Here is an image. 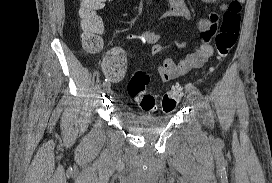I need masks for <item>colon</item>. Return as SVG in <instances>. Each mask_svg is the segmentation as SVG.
I'll use <instances>...</instances> for the list:
<instances>
[{
    "mask_svg": "<svg viewBox=\"0 0 272 183\" xmlns=\"http://www.w3.org/2000/svg\"><path fill=\"white\" fill-rule=\"evenodd\" d=\"M106 0H80L79 17L81 20L82 42L89 52H96L102 47L103 24L96 11ZM241 0H232L225 11L218 30L214 31L217 59H224L235 45L240 30ZM150 75L146 71H136L130 78L127 91L145 111L156 107V98L149 91ZM182 95L179 86L172 87L162 98L161 108L165 112L175 109Z\"/></svg>",
    "mask_w": 272,
    "mask_h": 183,
    "instance_id": "5ec220e1",
    "label": "colon"
}]
</instances>
